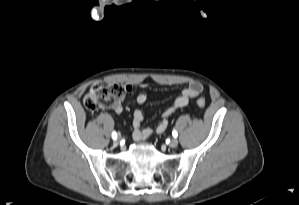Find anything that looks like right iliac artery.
Instances as JSON below:
<instances>
[{"label": "right iliac artery", "instance_id": "82829eb1", "mask_svg": "<svg viewBox=\"0 0 299 205\" xmlns=\"http://www.w3.org/2000/svg\"><path fill=\"white\" fill-rule=\"evenodd\" d=\"M112 138H113L114 140L117 138V134H116V132H113V133H112Z\"/></svg>", "mask_w": 299, "mask_h": 205}]
</instances>
